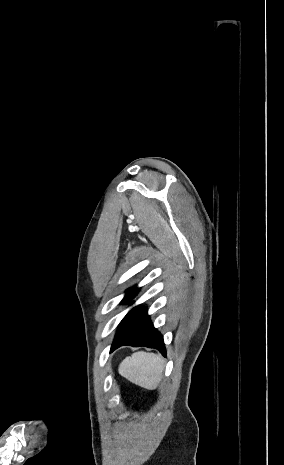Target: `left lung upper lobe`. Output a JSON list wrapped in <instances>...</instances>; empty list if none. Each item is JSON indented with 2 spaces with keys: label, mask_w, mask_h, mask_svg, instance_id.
Listing matches in <instances>:
<instances>
[{
  "label": "left lung upper lobe",
  "mask_w": 284,
  "mask_h": 465,
  "mask_svg": "<svg viewBox=\"0 0 284 465\" xmlns=\"http://www.w3.org/2000/svg\"><path fill=\"white\" fill-rule=\"evenodd\" d=\"M138 291L139 289L136 287H132L126 290V295L124 299L122 300V303H128L132 298H134V296L137 294Z\"/></svg>",
  "instance_id": "5c2ea615"
}]
</instances>
